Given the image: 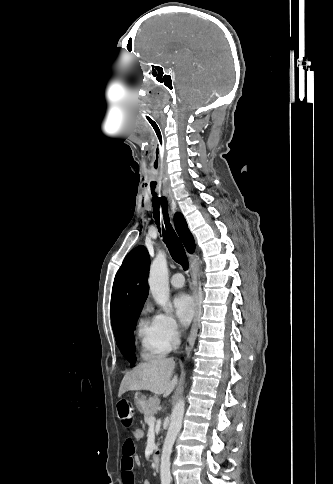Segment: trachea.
Wrapping results in <instances>:
<instances>
[{"instance_id": "obj_1", "label": "trachea", "mask_w": 333, "mask_h": 484, "mask_svg": "<svg viewBox=\"0 0 333 484\" xmlns=\"http://www.w3.org/2000/svg\"><path fill=\"white\" fill-rule=\"evenodd\" d=\"M147 120L153 127L154 138V164H153V185L154 196L152 198L153 215L157 228L162 233L163 241L169 249L170 255L175 262L180 264L184 270L189 267L184 247L175 233L168 215V203L162 186L164 172V160L167 156V134L158 128L157 124L149 117Z\"/></svg>"}]
</instances>
